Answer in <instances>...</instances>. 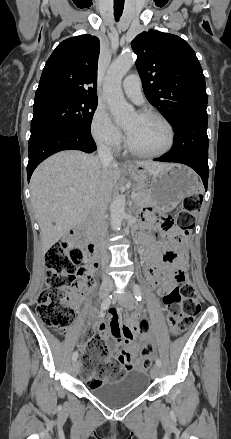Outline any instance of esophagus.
I'll use <instances>...</instances> for the list:
<instances>
[{"mask_svg":"<svg viewBox=\"0 0 231 439\" xmlns=\"http://www.w3.org/2000/svg\"><path fill=\"white\" fill-rule=\"evenodd\" d=\"M122 166H123L124 168H128V167L131 166V163L128 162V161H125V162L122 163Z\"/></svg>","mask_w":231,"mask_h":439,"instance_id":"34e87169","label":"esophagus"}]
</instances>
